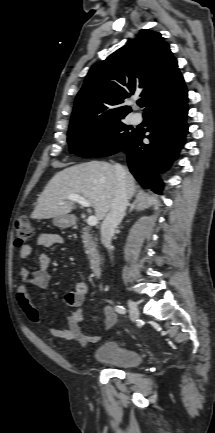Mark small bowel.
I'll return each mask as SVG.
<instances>
[{"label":"small bowel","instance_id":"obj_1","mask_svg":"<svg viewBox=\"0 0 215 433\" xmlns=\"http://www.w3.org/2000/svg\"><path fill=\"white\" fill-rule=\"evenodd\" d=\"M63 243V237L54 232H42L38 235L36 244L40 247L50 248ZM32 247L24 245L20 248V256L27 258L31 255ZM52 258L49 253H43L38 259V268L30 270L23 267L20 270V284L17 287L16 299L19 307L24 312L28 320L34 324H41L42 320L39 313L31 301L29 294V286L47 287L51 276L48 268ZM88 292V284L84 281L77 282L75 289L65 295V302L72 310L66 315L67 329H59L55 327L49 328L50 333L57 338L76 341L81 346H86L88 343H97L101 339V334L89 335L83 328L84 315L80 309ZM104 328L112 327L116 320L117 314L111 306L103 308Z\"/></svg>","mask_w":215,"mask_h":433}]
</instances>
